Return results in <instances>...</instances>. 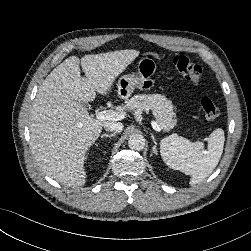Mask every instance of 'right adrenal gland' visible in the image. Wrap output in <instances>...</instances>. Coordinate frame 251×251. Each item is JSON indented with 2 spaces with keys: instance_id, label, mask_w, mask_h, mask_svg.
Instances as JSON below:
<instances>
[{
  "instance_id": "right-adrenal-gland-1",
  "label": "right adrenal gland",
  "mask_w": 251,
  "mask_h": 251,
  "mask_svg": "<svg viewBox=\"0 0 251 251\" xmlns=\"http://www.w3.org/2000/svg\"><path fill=\"white\" fill-rule=\"evenodd\" d=\"M116 136V133H113V134H102L101 138H112V137H115Z\"/></svg>"
}]
</instances>
